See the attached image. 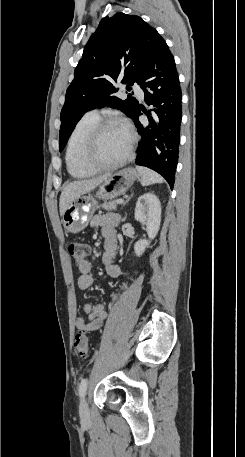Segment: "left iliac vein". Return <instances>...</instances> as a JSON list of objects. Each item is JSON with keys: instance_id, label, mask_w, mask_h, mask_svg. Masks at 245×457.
Instances as JSON below:
<instances>
[{"instance_id": "1", "label": "left iliac vein", "mask_w": 245, "mask_h": 457, "mask_svg": "<svg viewBox=\"0 0 245 457\" xmlns=\"http://www.w3.org/2000/svg\"><path fill=\"white\" fill-rule=\"evenodd\" d=\"M79 413H80V417L82 419L86 420L89 418V408H88L87 399H85V398L81 401V404L79 407Z\"/></svg>"}]
</instances>
